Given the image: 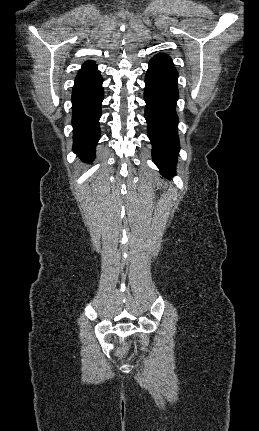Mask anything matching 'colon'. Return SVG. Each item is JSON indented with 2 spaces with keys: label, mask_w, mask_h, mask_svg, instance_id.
Instances as JSON below:
<instances>
[{
  "label": "colon",
  "mask_w": 259,
  "mask_h": 431,
  "mask_svg": "<svg viewBox=\"0 0 259 431\" xmlns=\"http://www.w3.org/2000/svg\"><path fill=\"white\" fill-rule=\"evenodd\" d=\"M127 350H128V346L124 345V346H122V347L119 348L118 354L119 355H123V354H125L127 352Z\"/></svg>",
  "instance_id": "1"
}]
</instances>
